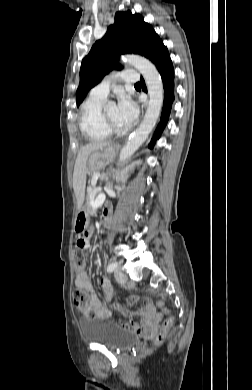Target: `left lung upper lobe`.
Wrapping results in <instances>:
<instances>
[{
    "mask_svg": "<svg viewBox=\"0 0 252 390\" xmlns=\"http://www.w3.org/2000/svg\"><path fill=\"white\" fill-rule=\"evenodd\" d=\"M159 41L158 34L141 15L130 11L117 12L114 24L108 27L102 39L95 42L82 61L77 106L106 74L113 69L121 70L117 63L121 54L134 53L148 59Z\"/></svg>",
    "mask_w": 252,
    "mask_h": 390,
    "instance_id": "5c2ea615",
    "label": "left lung upper lobe"
}]
</instances>
